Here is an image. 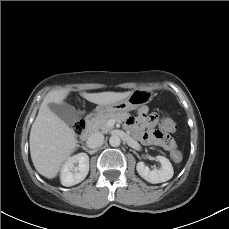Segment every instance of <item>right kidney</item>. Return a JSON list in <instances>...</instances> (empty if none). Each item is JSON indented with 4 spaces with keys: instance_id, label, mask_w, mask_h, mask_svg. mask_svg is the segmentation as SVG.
I'll return each instance as SVG.
<instances>
[{
    "instance_id": "1",
    "label": "right kidney",
    "mask_w": 229,
    "mask_h": 229,
    "mask_svg": "<svg viewBox=\"0 0 229 229\" xmlns=\"http://www.w3.org/2000/svg\"><path fill=\"white\" fill-rule=\"evenodd\" d=\"M75 166V164H77ZM89 172V156L79 153L70 157L63 165L60 179L63 186L70 187L83 181Z\"/></svg>"
}]
</instances>
